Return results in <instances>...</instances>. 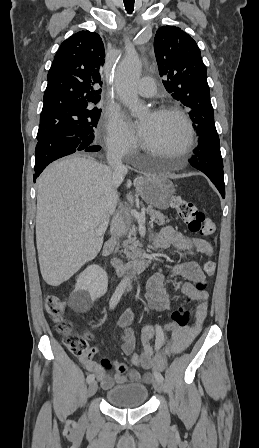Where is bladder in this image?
I'll use <instances>...</instances> for the list:
<instances>
[{
    "label": "bladder",
    "instance_id": "bladder-1",
    "mask_svg": "<svg viewBox=\"0 0 259 448\" xmlns=\"http://www.w3.org/2000/svg\"><path fill=\"white\" fill-rule=\"evenodd\" d=\"M148 394V388L143 384H123L110 388L106 392V399L116 407L135 408L147 401Z\"/></svg>",
    "mask_w": 259,
    "mask_h": 448
}]
</instances>
